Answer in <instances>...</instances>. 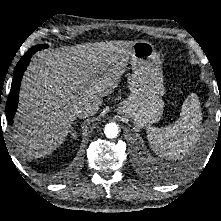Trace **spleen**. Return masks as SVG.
Returning <instances> with one entry per match:
<instances>
[{"mask_svg": "<svg viewBox=\"0 0 221 221\" xmlns=\"http://www.w3.org/2000/svg\"><path fill=\"white\" fill-rule=\"evenodd\" d=\"M202 113L198 98L191 94L184 101L180 118L165 127H148L147 139L159 157L180 160L201 137Z\"/></svg>", "mask_w": 221, "mask_h": 221, "instance_id": "3e777b00", "label": "spleen"}]
</instances>
